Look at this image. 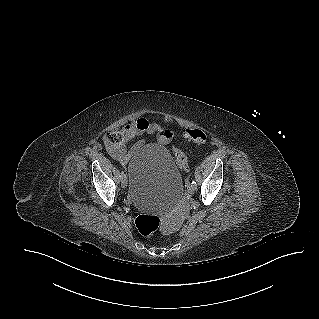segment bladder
<instances>
[{
    "label": "bladder",
    "instance_id": "obj_1",
    "mask_svg": "<svg viewBox=\"0 0 319 319\" xmlns=\"http://www.w3.org/2000/svg\"><path fill=\"white\" fill-rule=\"evenodd\" d=\"M129 193L141 210L164 212L173 207L182 190V176L168 149L142 146L127 165Z\"/></svg>",
    "mask_w": 319,
    "mask_h": 319
}]
</instances>
